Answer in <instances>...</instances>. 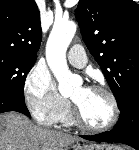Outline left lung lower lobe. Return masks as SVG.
Listing matches in <instances>:
<instances>
[{
    "label": "left lung lower lobe",
    "instance_id": "1",
    "mask_svg": "<svg viewBox=\"0 0 139 150\" xmlns=\"http://www.w3.org/2000/svg\"><path fill=\"white\" fill-rule=\"evenodd\" d=\"M119 109L120 117L113 130L80 136L90 141L124 143L139 150V86L128 92Z\"/></svg>",
    "mask_w": 139,
    "mask_h": 150
}]
</instances>
